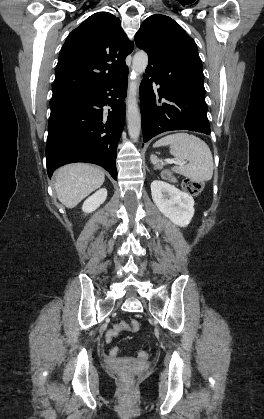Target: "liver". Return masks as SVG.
<instances>
[{
  "mask_svg": "<svg viewBox=\"0 0 264 419\" xmlns=\"http://www.w3.org/2000/svg\"><path fill=\"white\" fill-rule=\"evenodd\" d=\"M104 180V172L95 166L86 163L68 164L57 170L55 190L63 205L74 208L102 186Z\"/></svg>",
  "mask_w": 264,
  "mask_h": 419,
  "instance_id": "6515ba94",
  "label": "liver"
}]
</instances>
